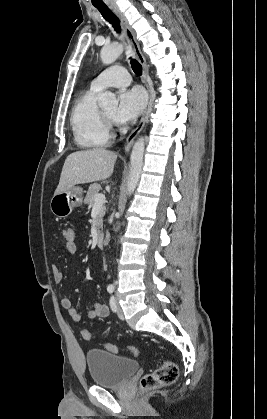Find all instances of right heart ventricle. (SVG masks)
Wrapping results in <instances>:
<instances>
[{"mask_svg":"<svg viewBox=\"0 0 267 419\" xmlns=\"http://www.w3.org/2000/svg\"><path fill=\"white\" fill-rule=\"evenodd\" d=\"M100 91L90 88L76 100L70 124L76 143L86 149L105 147L110 142V132L97 100Z\"/></svg>","mask_w":267,"mask_h":419,"instance_id":"right-heart-ventricle-1","label":"right heart ventricle"}]
</instances>
